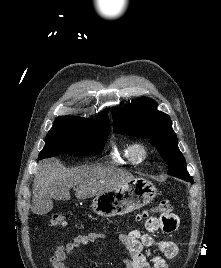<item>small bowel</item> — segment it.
I'll use <instances>...</instances> for the list:
<instances>
[{
  "label": "small bowel",
  "instance_id": "1",
  "mask_svg": "<svg viewBox=\"0 0 221 268\" xmlns=\"http://www.w3.org/2000/svg\"><path fill=\"white\" fill-rule=\"evenodd\" d=\"M144 227L145 231L133 229L118 234V241L129 253V258L124 260L125 268H169L166 259L175 258L179 254V246L173 241L156 239L153 233L161 231L170 234L176 231L179 227L178 216H153L145 221ZM105 238L103 233L90 232L59 244L49 258L52 268H69L67 261L78 248Z\"/></svg>",
  "mask_w": 221,
  "mask_h": 268
}]
</instances>
